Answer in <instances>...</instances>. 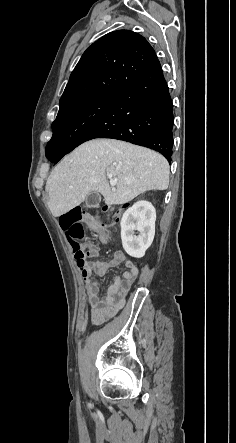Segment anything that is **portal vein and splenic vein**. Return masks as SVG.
Returning <instances> with one entry per match:
<instances>
[{"label":"portal vein and splenic vein","mask_w":236,"mask_h":443,"mask_svg":"<svg viewBox=\"0 0 236 443\" xmlns=\"http://www.w3.org/2000/svg\"><path fill=\"white\" fill-rule=\"evenodd\" d=\"M110 185L112 186V188L114 189L115 185H116V181L113 179H110Z\"/></svg>","instance_id":"portal-vein-and-splenic-vein-1"}]
</instances>
